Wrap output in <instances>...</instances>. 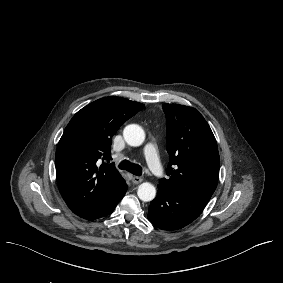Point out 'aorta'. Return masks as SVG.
<instances>
[{"instance_id": "aorta-1", "label": "aorta", "mask_w": 283, "mask_h": 283, "mask_svg": "<svg viewBox=\"0 0 283 283\" xmlns=\"http://www.w3.org/2000/svg\"><path fill=\"white\" fill-rule=\"evenodd\" d=\"M123 137L130 146H140L145 140V132L141 126L137 124L127 125L123 130ZM137 195L144 202L152 201L156 196V188L149 182L139 185Z\"/></svg>"}]
</instances>
